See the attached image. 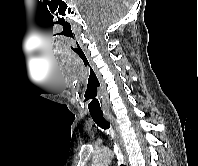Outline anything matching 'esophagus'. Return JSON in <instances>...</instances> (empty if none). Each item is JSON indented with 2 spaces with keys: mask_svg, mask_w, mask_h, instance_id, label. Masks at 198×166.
<instances>
[{
  "mask_svg": "<svg viewBox=\"0 0 198 166\" xmlns=\"http://www.w3.org/2000/svg\"><path fill=\"white\" fill-rule=\"evenodd\" d=\"M105 117L114 127L117 139H118V141L120 143V147H121L123 155H124L125 164H127V157H126V152H125V142H124V139H123V137L121 135V130L119 128V125H118V123H117V121H116V119H115V117L113 115L105 114Z\"/></svg>",
  "mask_w": 198,
  "mask_h": 166,
  "instance_id": "34e87169",
  "label": "esophagus"
}]
</instances>
